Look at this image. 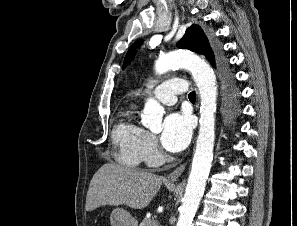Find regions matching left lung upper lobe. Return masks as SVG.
Segmentation results:
<instances>
[{"instance_id":"1","label":"left lung upper lobe","mask_w":297,"mask_h":226,"mask_svg":"<svg viewBox=\"0 0 297 226\" xmlns=\"http://www.w3.org/2000/svg\"><path fill=\"white\" fill-rule=\"evenodd\" d=\"M141 43L142 41L140 40L131 46L125 57L123 67H126V65L133 59L135 48H137ZM177 47L203 54L212 65L215 64L213 52L210 48L208 40L198 25H192L186 30L183 38L177 43Z\"/></svg>"}]
</instances>
